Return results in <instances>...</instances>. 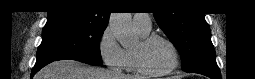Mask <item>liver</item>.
Returning <instances> with one entry per match:
<instances>
[{"mask_svg": "<svg viewBox=\"0 0 255 79\" xmlns=\"http://www.w3.org/2000/svg\"><path fill=\"white\" fill-rule=\"evenodd\" d=\"M35 79H137L103 68H94L75 60H60L40 70ZM139 79V78H138Z\"/></svg>", "mask_w": 255, "mask_h": 79, "instance_id": "6515ba94", "label": "liver"}]
</instances>
